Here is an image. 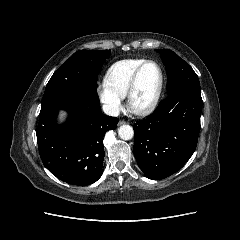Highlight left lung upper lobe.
<instances>
[{
	"mask_svg": "<svg viewBox=\"0 0 240 240\" xmlns=\"http://www.w3.org/2000/svg\"><path fill=\"white\" fill-rule=\"evenodd\" d=\"M157 51L166 65L168 95L181 89L200 90L198 76L187 62L169 49Z\"/></svg>",
	"mask_w": 240,
	"mask_h": 240,
	"instance_id": "obj_1",
	"label": "left lung upper lobe"
}]
</instances>
